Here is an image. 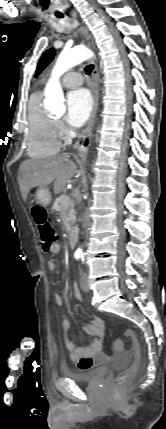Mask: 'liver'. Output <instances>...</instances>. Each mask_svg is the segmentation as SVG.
I'll return each instance as SVG.
<instances>
[{
    "instance_id": "liver-1",
    "label": "liver",
    "mask_w": 166,
    "mask_h": 429,
    "mask_svg": "<svg viewBox=\"0 0 166 429\" xmlns=\"http://www.w3.org/2000/svg\"><path fill=\"white\" fill-rule=\"evenodd\" d=\"M76 164L67 154L47 159H28L19 167V186L24 201L34 187H46L54 182V192L60 193L76 174Z\"/></svg>"
}]
</instances>
